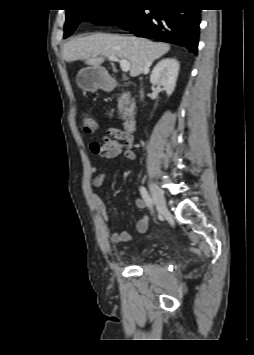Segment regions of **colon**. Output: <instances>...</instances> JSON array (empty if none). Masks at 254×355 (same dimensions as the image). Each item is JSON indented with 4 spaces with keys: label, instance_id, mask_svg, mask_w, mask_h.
I'll return each mask as SVG.
<instances>
[{
    "label": "colon",
    "instance_id": "obj_1",
    "mask_svg": "<svg viewBox=\"0 0 254 355\" xmlns=\"http://www.w3.org/2000/svg\"><path fill=\"white\" fill-rule=\"evenodd\" d=\"M82 126L86 133H94L97 130L96 121L91 117L83 118Z\"/></svg>",
    "mask_w": 254,
    "mask_h": 355
}]
</instances>
